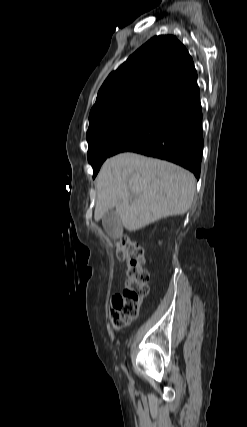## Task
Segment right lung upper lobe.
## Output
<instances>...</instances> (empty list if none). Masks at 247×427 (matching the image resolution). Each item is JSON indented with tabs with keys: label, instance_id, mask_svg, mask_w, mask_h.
I'll return each instance as SVG.
<instances>
[{
	"label": "right lung upper lobe",
	"instance_id": "right-lung-upper-lobe-1",
	"mask_svg": "<svg viewBox=\"0 0 247 427\" xmlns=\"http://www.w3.org/2000/svg\"><path fill=\"white\" fill-rule=\"evenodd\" d=\"M195 83L197 72L184 45L172 35L155 36L107 77L91 109L90 124L123 108L158 107Z\"/></svg>",
	"mask_w": 247,
	"mask_h": 427
}]
</instances>
